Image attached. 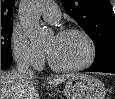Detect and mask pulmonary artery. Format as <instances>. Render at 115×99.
<instances>
[{
	"mask_svg": "<svg viewBox=\"0 0 115 99\" xmlns=\"http://www.w3.org/2000/svg\"><path fill=\"white\" fill-rule=\"evenodd\" d=\"M42 15L46 21L55 23L60 18V11L54 3L48 2L42 8Z\"/></svg>",
	"mask_w": 115,
	"mask_h": 99,
	"instance_id": "e3ab8cb5",
	"label": "pulmonary artery"
}]
</instances>
